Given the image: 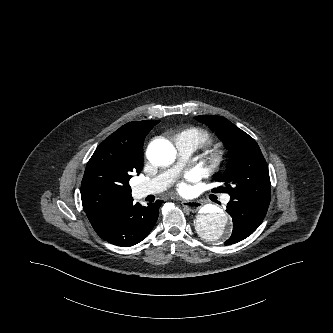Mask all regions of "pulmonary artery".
Masks as SVG:
<instances>
[{
  "instance_id": "pulmonary-artery-1",
  "label": "pulmonary artery",
  "mask_w": 333,
  "mask_h": 333,
  "mask_svg": "<svg viewBox=\"0 0 333 333\" xmlns=\"http://www.w3.org/2000/svg\"><path fill=\"white\" fill-rule=\"evenodd\" d=\"M176 147L178 149L181 161L174 168L158 175L157 177L142 182L135 188V193L138 197H145L150 194H155L166 189L172 180V177L176 174L181 167L182 162L185 161L199 146V143L190 137H177ZM225 201H229V197L225 198Z\"/></svg>"
}]
</instances>
